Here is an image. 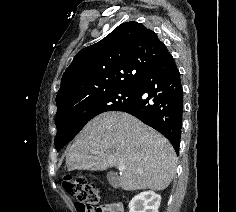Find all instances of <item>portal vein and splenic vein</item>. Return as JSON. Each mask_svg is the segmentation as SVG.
Returning <instances> with one entry per match:
<instances>
[{"instance_id":"portal-vein-and-splenic-vein-1","label":"portal vein and splenic vein","mask_w":236,"mask_h":212,"mask_svg":"<svg viewBox=\"0 0 236 212\" xmlns=\"http://www.w3.org/2000/svg\"><path fill=\"white\" fill-rule=\"evenodd\" d=\"M92 154H97V151H92ZM118 170L121 172V171H124V170H126V166L125 165H123V164H121V165H119L118 166Z\"/></svg>"}]
</instances>
